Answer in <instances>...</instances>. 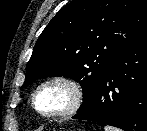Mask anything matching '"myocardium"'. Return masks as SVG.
<instances>
[{
	"label": "myocardium",
	"mask_w": 147,
	"mask_h": 131,
	"mask_svg": "<svg viewBox=\"0 0 147 131\" xmlns=\"http://www.w3.org/2000/svg\"><path fill=\"white\" fill-rule=\"evenodd\" d=\"M52 84H60L66 87L70 93V102L68 106L61 111L44 113L40 111L36 105V96L41 89ZM84 99V88L77 79L68 75H55L43 80L35 87L31 94V105L35 112L41 117L46 119H59L74 115L81 108Z\"/></svg>",
	"instance_id": "1"
}]
</instances>
